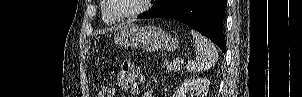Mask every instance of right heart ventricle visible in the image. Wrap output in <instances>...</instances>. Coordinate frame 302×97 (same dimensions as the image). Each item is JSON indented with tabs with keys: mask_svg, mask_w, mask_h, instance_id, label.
Listing matches in <instances>:
<instances>
[{
	"mask_svg": "<svg viewBox=\"0 0 302 97\" xmlns=\"http://www.w3.org/2000/svg\"><path fill=\"white\" fill-rule=\"evenodd\" d=\"M103 20L106 24L112 25L115 24L116 21L112 19L106 12L105 9H103Z\"/></svg>",
	"mask_w": 302,
	"mask_h": 97,
	"instance_id": "1",
	"label": "right heart ventricle"
}]
</instances>
